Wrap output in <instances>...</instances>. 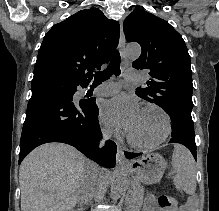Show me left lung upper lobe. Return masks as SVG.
<instances>
[{
  "instance_id": "1",
  "label": "left lung upper lobe",
  "mask_w": 219,
  "mask_h": 211,
  "mask_svg": "<svg viewBox=\"0 0 219 211\" xmlns=\"http://www.w3.org/2000/svg\"><path fill=\"white\" fill-rule=\"evenodd\" d=\"M123 28L126 40L142 48L132 66L149 70L151 76L136 95L166 111L172 126L194 125L190 56L182 36L168 22L142 9H135Z\"/></svg>"
}]
</instances>
